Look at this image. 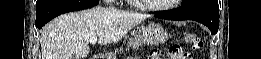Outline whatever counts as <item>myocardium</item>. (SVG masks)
Listing matches in <instances>:
<instances>
[{"instance_id": "1", "label": "myocardium", "mask_w": 261, "mask_h": 59, "mask_svg": "<svg viewBox=\"0 0 261 59\" xmlns=\"http://www.w3.org/2000/svg\"><path fill=\"white\" fill-rule=\"evenodd\" d=\"M180 0H172L171 3L166 5H151L144 2L134 0V3L143 10L147 11H166L176 6Z\"/></svg>"}]
</instances>
